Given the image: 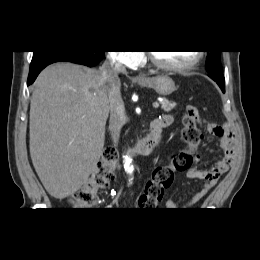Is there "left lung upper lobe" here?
<instances>
[{"mask_svg":"<svg viewBox=\"0 0 260 260\" xmlns=\"http://www.w3.org/2000/svg\"><path fill=\"white\" fill-rule=\"evenodd\" d=\"M206 68L210 75H221L222 65L220 63V51H207Z\"/></svg>","mask_w":260,"mask_h":260,"instance_id":"5c2ea615","label":"left lung upper lobe"}]
</instances>
